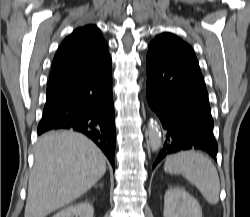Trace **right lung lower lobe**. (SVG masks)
I'll return each instance as SVG.
<instances>
[{"mask_svg": "<svg viewBox=\"0 0 250 217\" xmlns=\"http://www.w3.org/2000/svg\"><path fill=\"white\" fill-rule=\"evenodd\" d=\"M46 96L38 135L55 129L81 132L98 145L115 167L112 61L87 77L47 91Z\"/></svg>", "mask_w": 250, "mask_h": 217, "instance_id": "obj_1", "label": "right lung lower lobe"}]
</instances>
